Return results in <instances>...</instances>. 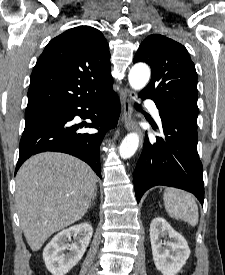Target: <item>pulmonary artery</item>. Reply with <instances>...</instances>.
<instances>
[{
	"mask_svg": "<svg viewBox=\"0 0 225 275\" xmlns=\"http://www.w3.org/2000/svg\"><path fill=\"white\" fill-rule=\"evenodd\" d=\"M145 105L151 109L155 118L160 122V116H159L158 109H157L155 103L151 100H146Z\"/></svg>",
	"mask_w": 225,
	"mask_h": 275,
	"instance_id": "obj_1",
	"label": "pulmonary artery"
}]
</instances>
